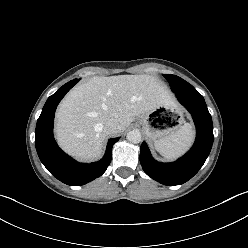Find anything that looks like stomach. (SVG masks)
Returning a JSON list of instances; mask_svg holds the SVG:
<instances>
[{
	"label": "stomach",
	"mask_w": 248,
	"mask_h": 248,
	"mask_svg": "<svg viewBox=\"0 0 248 248\" xmlns=\"http://www.w3.org/2000/svg\"><path fill=\"white\" fill-rule=\"evenodd\" d=\"M175 120L181 123L182 114L174 106H160L150 113L139 116L138 123L150 141H157L178 128V125L171 126Z\"/></svg>",
	"instance_id": "0dacf381"
}]
</instances>
